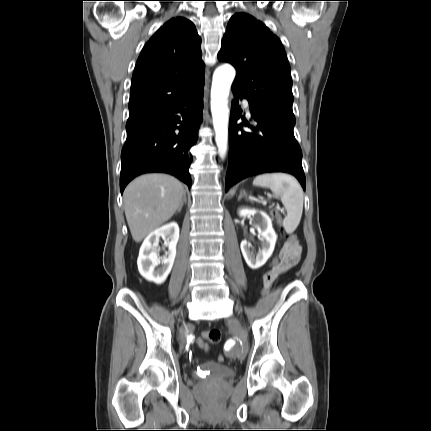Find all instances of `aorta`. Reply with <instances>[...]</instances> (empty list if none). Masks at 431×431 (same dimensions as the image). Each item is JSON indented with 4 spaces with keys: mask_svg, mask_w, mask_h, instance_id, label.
I'll list each match as a JSON object with an SVG mask.
<instances>
[{
    "mask_svg": "<svg viewBox=\"0 0 431 431\" xmlns=\"http://www.w3.org/2000/svg\"><path fill=\"white\" fill-rule=\"evenodd\" d=\"M234 78L235 69L229 64H224L218 67L213 74L211 111L216 134L215 140L221 157H224L227 150L229 114L228 96Z\"/></svg>",
    "mask_w": 431,
    "mask_h": 431,
    "instance_id": "762f6f07",
    "label": "aorta"
}]
</instances>
